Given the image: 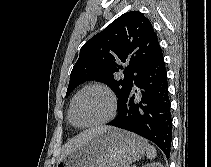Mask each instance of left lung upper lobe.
<instances>
[{
    "mask_svg": "<svg viewBox=\"0 0 211 167\" xmlns=\"http://www.w3.org/2000/svg\"><path fill=\"white\" fill-rule=\"evenodd\" d=\"M160 47L151 22L138 11H130L88 40L80 50L66 97L82 82L98 80L117 92L118 107L137 76ZM123 70L124 79L114 74Z\"/></svg>",
    "mask_w": 211,
    "mask_h": 167,
    "instance_id": "left-lung-upper-lobe-1",
    "label": "left lung upper lobe"
}]
</instances>
